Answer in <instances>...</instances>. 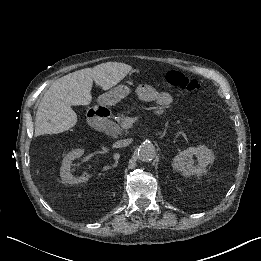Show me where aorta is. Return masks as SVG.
I'll return each mask as SVG.
<instances>
[{"label":"aorta","mask_w":261,"mask_h":261,"mask_svg":"<svg viewBox=\"0 0 261 261\" xmlns=\"http://www.w3.org/2000/svg\"><path fill=\"white\" fill-rule=\"evenodd\" d=\"M156 154L155 147L151 143H143L138 148V157L142 161H151L154 159Z\"/></svg>","instance_id":"1"}]
</instances>
